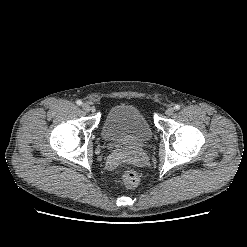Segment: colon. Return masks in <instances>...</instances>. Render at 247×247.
Returning <instances> with one entry per match:
<instances>
[{
  "label": "colon",
  "mask_w": 247,
  "mask_h": 247,
  "mask_svg": "<svg viewBox=\"0 0 247 247\" xmlns=\"http://www.w3.org/2000/svg\"><path fill=\"white\" fill-rule=\"evenodd\" d=\"M121 178L127 188H135L140 182L139 174L132 169L123 170Z\"/></svg>",
  "instance_id": "obj_1"
}]
</instances>
